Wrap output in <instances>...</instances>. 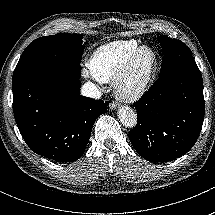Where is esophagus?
I'll return each mask as SVG.
<instances>
[{
	"label": "esophagus",
	"instance_id": "obj_1",
	"mask_svg": "<svg viewBox=\"0 0 215 215\" xmlns=\"http://www.w3.org/2000/svg\"><path fill=\"white\" fill-rule=\"evenodd\" d=\"M110 109H115L117 107V104L116 103H111L109 105Z\"/></svg>",
	"mask_w": 215,
	"mask_h": 215
}]
</instances>
